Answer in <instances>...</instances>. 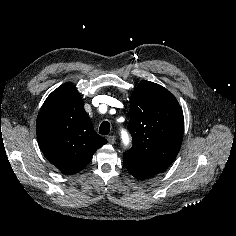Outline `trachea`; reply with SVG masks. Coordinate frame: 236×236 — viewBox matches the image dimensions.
Segmentation results:
<instances>
[{
  "label": "trachea",
  "mask_w": 236,
  "mask_h": 236,
  "mask_svg": "<svg viewBox=\"0 0 236 236\" xmlns=\"http://www.w3.org/2000/svg\"><path fill=\"white\" fill-rule=\"evenodd\" d=\"M110 132V124L108 121H104L101 123L100 128H99V133L101 135H108Z\"/></svg>",
  "instance_id": "trachea-1"
}]
</instances>
